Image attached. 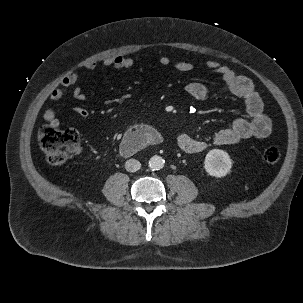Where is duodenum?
I'll return each instance as SVG.
<instances>
[{
	"mask_svg": "<svg viewBox=\"0 0 303 303\" xmlns=\"http://www.w3.org/2000/svg\"><path fill=\"white\" fill-rule=\"evenodd\" d=\"M161 141V136L153 128L139 126L126 134L121 143L120 151L123 155L129 156L147 145H156Z\"/></svg>",
	"mask_w": 303,
	"mask_h": 303,
	"instance_id": "duodenum-1",
	"label": "duodenum"
}]
</instances>
